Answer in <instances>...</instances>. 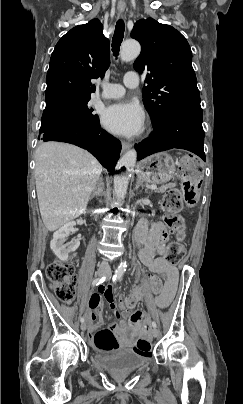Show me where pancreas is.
Wrapping results in <instances>:
<instances>
[{
    "label": "pancreas",
    "mask_w": 243,
    "mask_h": 404,
    "mask_svg": "<svg viewBox=\"0 0 243 404\" xmlns=\"http://www.w3.org/2000/svg\"><path fill=\"white\" fill-rule=\"evenodd\" d=\"M172 184H167V186H160V188H157L156 192H166V190H168V188H171Z\"/></svg>",
    "instance_id": "cf45deb5"
}]
</instances>
